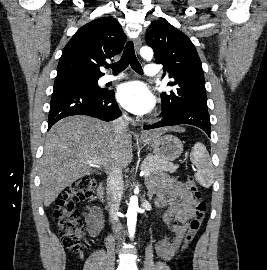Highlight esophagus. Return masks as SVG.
I'll list each match as a JSON object with an SVG mask.
<instances>
[{"instance_id": "1", "label": "esophagus", "mask_w": 267, "mask_h": 270, "mask_svg": "<svg viewBox=\"0 0 267 270\" xmlns=\"http://www.w3.org/2000/svg\"><path fill=\"white\" fill-rule=\"evenodd\" d=\"M141 44H142V40H141L140 37H138V38L134 41V48H135V52H136L137 54L139 53Z\"/></svg>"}]
</instances>
